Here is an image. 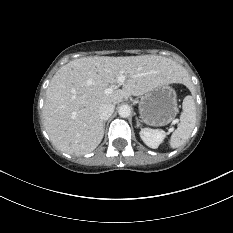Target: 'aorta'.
Segmentation results:
<instances>
[{
	"instance_id": "1",
	"label": "aorta",
	"mask_w": 233,
	"mask_h": 233,
	"mask_svg": "<svg viewBox=\"0 0 233 233\" xmlns=\"http://www.w3.org/2000/svg\"><path fill=\"white\" fill-rule=\"evenodd\" d=\"M118 114L122 118H127L131 114V109L128 105H121L118 109Z\"/></svg>"
}]
</instances>
